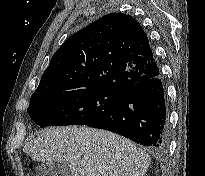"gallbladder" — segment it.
<instances>
[{
	"mask_svg": "<svg viewBox=\"0 0 205 176\" xmlns=\"http://www.w3.org/2000/svg\"><path fill=\"white\" fill-rule=\"evenodd\" d=\"M37 176H71L70 168L55 161L42 162L37 166Z\"/></svg>",
	"mask_w": 205,
	"mask_h": 176,
	"instance_id": "gallbladder-1",
	"label": "gallbladder"
}]
</instances>
